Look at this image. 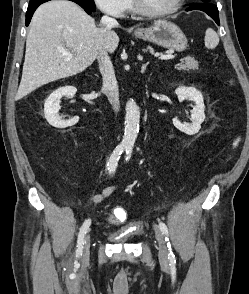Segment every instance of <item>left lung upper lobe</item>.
I'll use <instances>...</instances> for the list:
<instances>
[{
  "instance_id": "5c2ea615",
  "label": "left lung upper lobe",
  "mask_w": 249,
  "mask_h": 294,
  "mask_svg": "<svg viewBox=\"0 0 249 294\" xmlns=\"http://www.w3.org/2000/svg\"><path fill=\"white\" fill-rule=\"evenodd\" d=\"M203 3H209L211 0H201Z\"/></svg>"
}]
</instances>
